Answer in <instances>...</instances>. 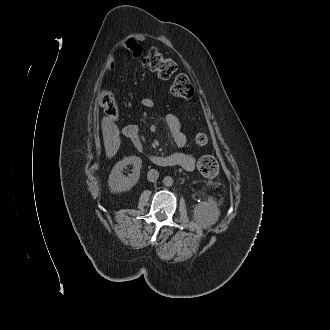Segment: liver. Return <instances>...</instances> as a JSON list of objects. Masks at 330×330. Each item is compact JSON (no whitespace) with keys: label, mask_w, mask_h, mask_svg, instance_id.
Segmentation results:
<instances>
[{"label":"liver","mask_w":330,"mask_h":330,"mask_svg":"<svg viewBox=\"0 0 330 330\" xmlns=\"http://www.w3.org/2000/svg\"><path fill=\"white\" fill-rule=\"evenodd\" d=\"M101 128L103 133L106 156L108 158H111L117 153L120 147V131L117 125L108 117H104L102 119Z\"/></svg>","instance_id":"6515ba94"}]
</instances>
